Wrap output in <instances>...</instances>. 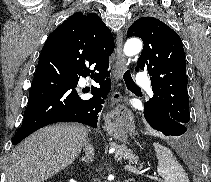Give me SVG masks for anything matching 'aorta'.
<instances>
[{"label": "aorta", "mask_w": 211, "mask_h": 182, "mask_svg": "<svg viewBox=\"0 0 211 182\" xmlns=\"http://www.w3.org/2000/svg\"><path fill=\"white\" fill-rule=\"evenodd\" d=\"M142 49V42L137 38H130L124 45L123 52L126 56L131 57L138 54Z\"/></svg>", "instance_id": "obj_1"}]
</instances>
